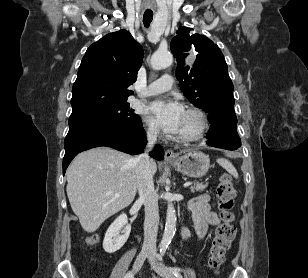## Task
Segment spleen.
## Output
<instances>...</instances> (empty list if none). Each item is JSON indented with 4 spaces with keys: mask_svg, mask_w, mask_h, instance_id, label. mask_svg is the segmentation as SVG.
<instances>
[{
    "mask_svg": "<svg viewBox=\"0 0 308 278\" xmlns=\"http://www.w3.org/2000/svg\"><path fill=\"white\" fill-rule=\"evenodd\" d=\"M217 163L222 166L228 173L233 175L235 178H238V172L236 168L232 165V163L225 158H218Z\"/></svg>",
    "mask_w": 308,
    "mask_h": 278,
    "instance_id": "obj_1",
    "label": "spleen"
}]
</instances>
